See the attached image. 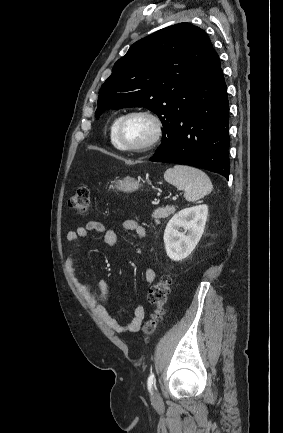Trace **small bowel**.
<instances>
[{"mask_svg": "<svg viewBox=\"0 0 283 433\" xmlns=\"http://www.w3.org/2000/svg\"><path fill=\"white\" fill-rule=\"evenodd\" d=\"M123 228L126 231H133L138 237L144 238L147 234L146 229L141 226L136 220L128 219L124 221ZM90 232L102 233L104 242L109 246L118 244V235L114 230L106 229V227L98 221H88L85 225L79 226L75 230L69 231L66 235V241L70 245H76L80 239H84ZM66 267L69 277L76 290L83 296L93 312L99 319L110 329L118 333H133L140 329V326L145 317V309L143 306H135L133 316L126 324H120L111 314L101 301L110 292V286L106 281L99 282L97 295L93 294L90 288L81 280L74 263V255L70 254L66 260ZM145 280L148 283L154 282L156 272L153 268H147L144 272Z\"/></svg>", "mask_w": 283, "mask_h": 433, "instance_id": "small-bowel-1", "label": "small bowel"}]
</instances>
